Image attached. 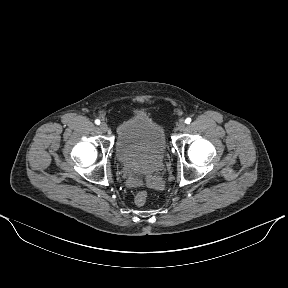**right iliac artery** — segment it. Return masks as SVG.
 Masks as SVG:
<instances>
[{
  "label": "right iliac artery",
  "instance_id": "82829eb1",
  "mask_svg": "<svg viewBox=\"0 0 288 288\" xmlns=\"http://www.w3.org/2000/svg\"><path fill=\"white\" fill-rule=\"evenodd\" d=\"M95 124H96V125H99V124H100V120H99V119H96V120H95Z\"/></svg>",
  "mask_w": 288,
  "mask_h": 288
}]
</instances>
